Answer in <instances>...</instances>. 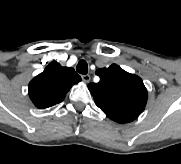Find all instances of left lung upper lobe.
<instances>
[{
  "instance_id": "1",
  "label": "left lung upper lobe",
  "mask_w": 181,
  "mask_h": 164,
  "mask_svg": "<svg viewBox=\"0 0 181 164\" xmlns=\"http://www.w3.org/2000/svg\"><path fill=\"white\" fill-rule=\"evenodd\" d=\"M96 74L100 81L89 84L88 88L95 104L107 117L118 123H128L143 112L148 94L140 77L116 64L98 69Z\"/></svg>"
}]
</instances>
